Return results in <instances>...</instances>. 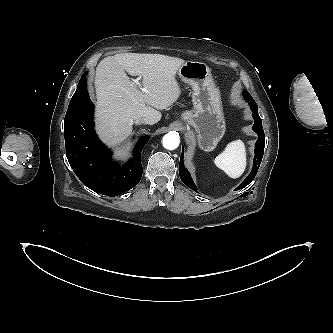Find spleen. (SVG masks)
Wrapping results in <instances>:
<instances>
[{"label": "spleen", "mask_w": 333, "mask_h": 333, "mask_svg": "<svg viewBox=\"0 0 333 333\" xmlns=\"http://www.w3.org/2000/svg\"><path fill=\"white\" fill-rule=\"evenodd\" d=\"M215 165L229 177H240L246 168L245 145L241 140L230 142L214 159Z\"/></svg>", "instance_id": "1"}]
</instances>
